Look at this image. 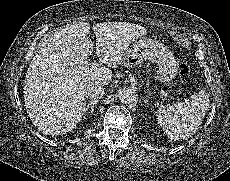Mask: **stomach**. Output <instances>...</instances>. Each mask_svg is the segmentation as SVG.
Listing matches in <instances>:
<instances>
[{"instance_id":"stomach-1","label":"stomach","mask_w":230,"mask_h":181,"mask_svg":"<svg viewBox=\"0 0 230 181\" xmlns=\"http://www.w3.org/2000/svg\"><path fill=\"white\" fill-rule=\"evenodd\" d=\"M156 46H158L157 43L151 39L138 40L132 49L126 50L122 61L128 64H137L142 57L155 53L157 51ZM157 48H160V52L156 56L158 61L157 75L162 82H168L176 74L177 64L174 58L163 50V47Z\"/></svg>"}]
</instances>
